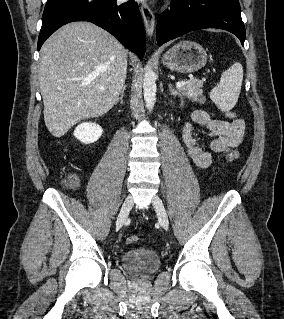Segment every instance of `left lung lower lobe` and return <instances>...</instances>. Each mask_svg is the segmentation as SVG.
<instances>
[{
  "label": "left lung lower lobe",
  "instance_id": "1",
  "mask_svg": "<svg viewBox=\"0 0 284 319\" xmlns=\"http://www.w3.org/2000/svg\"><path fill=\"white\" fill-rule=\"evenodd\" d=\"M205 28L227 30L244 46L246 31L238 0H174L171 9L158 18L157 44Z\"/></svg>",
  "mask_w": 284,
  "mask_h": 319
}]
</instances>
